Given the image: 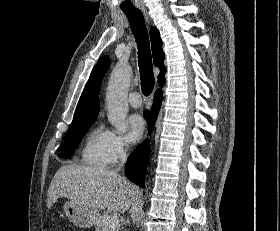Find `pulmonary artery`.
I'll use <instances>...</instances> for the list:
<instances>
[{
    "label": "pulmonary artery",
    "instance_id": "obj_1",
    "mask_svg": "<svg viewBox=\"0 0 280 231\" xmlns=\"http://www.w3.org/2000/svg\"><path fill=\"white\" fill-rule=\"evenodd\" d=\"M128 102L132 107L138 108L142 104L140 94L138 92H132L128 96Z\"/></svg>",
    "mask_w": 280,
    "mask_h": 231
}]
</instances>
